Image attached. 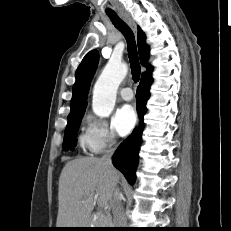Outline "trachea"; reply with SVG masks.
<instances>
[{
    "mask_svg": "<svg viewBox=\"0 0 231 231\" xmlns=\"http://www.w3.org/2000/svg\"><path fill=\"white\" fill-rule=\"evenodd\" d=\"M107 15L113 25L124 35L126 39L131 73L133 80L138 81L140 79L141 69L134 34L130 27L115 12H107Z\"/></svg>",
    "mask_w": 231,
    "mask_h": 231,
    "instance_id": "3493384b",
    "label": "trachea"
}]
</instances>
